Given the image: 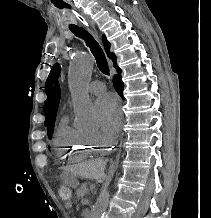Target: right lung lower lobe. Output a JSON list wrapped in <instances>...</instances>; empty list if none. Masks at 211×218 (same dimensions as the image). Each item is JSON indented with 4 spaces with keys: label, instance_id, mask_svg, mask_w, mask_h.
<instances>
[{
    "label": "right lung lower lobe",
    "instance_id": "98d812e1",
    "mask_svg": "<svg viewBox=\"0 0 211 218\" xmlns=\"http://www.w3.org/2000/svg\"><path fill=\"white\" fill-rule=\"evenodd\" d=\"M114 67L116 68L117 72L120 74L121 73V69L117 66V64H114ZM113 84L114 87L117 91V93L123 98V88H124V84L122 82L121 76L120 75H115L113 77Z\"/></svg>",
    "mask_w": 211,
    "mask_h": 218
}]
</instances>
